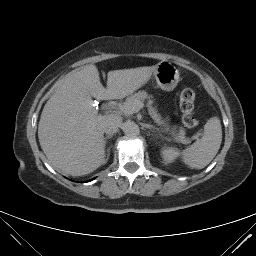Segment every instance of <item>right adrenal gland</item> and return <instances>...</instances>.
Segmentation results:
<instances>
[{
  "instance_id": "1",
  "label": "right adrenal gland",
  "mask_w": 256,
  "mask_h": 256,
  "mask_svg": "<svg viewBox=\"0 0 256 256\" xmlns=\"http://www.w3.org/2000/svg\"><path fill=\"white\" fill-rule=\"evenodd\" d=\"M113 136V134H107L104 138V143H107V139H110Z\"/></svg>"
}]
</instances>
